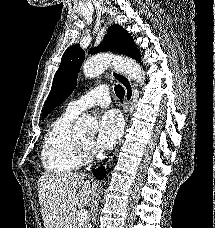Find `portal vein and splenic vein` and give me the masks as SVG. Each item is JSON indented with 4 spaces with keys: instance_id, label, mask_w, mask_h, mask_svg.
Masks as SVG:
<instances>
[{
    "instance_id": "obj_1",
    "label": "portal vein and splenic vein",
    "mask_w": 215,
    "mask_h": 228,
    "mask_svg": "<svg viewBox=\"0 0 215 228\" xmlns=\"http://www.w3.org/2000/svg\"><path fill=\"white\" fill-rule=\"evenodd\" d=\"M88 218V212H85V210H81V212H78L76 220L78 222H84V220H87Z\"/></svg>"
}]
</instances>
